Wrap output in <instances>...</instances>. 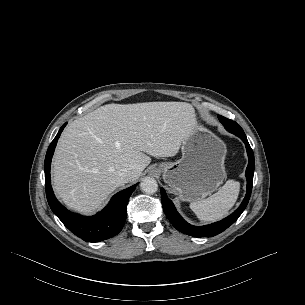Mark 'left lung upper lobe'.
<instances>
[{
    "mask_svg": "<svg viewBox=\"0 0 305 305\" xmlns=\"http://www.w3.org/2000/svg\"><path fill=\"white\" fill-rule=\"evenodd\" d=\"M220 122L224 125V127L231 133L235 135L245 134L243 129L234 121L229 120L223 116L218 115Z\"/></svg>",
    "mask_w": 305,
    "mask_h": 305,
    "instance_id": "1",
    "label": "left lung upper lobe"
}]
</instances>
